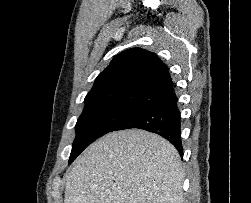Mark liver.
Returning a JSON list of instances; mask_svg holds the SVG:
<instances>
[{
	"instance_id": "obj_1",
	"label": "liver",
	"mask_w": 251,
	"mask_h": 203,
	"mask_svg": "<svg viewBox=\"0 0 251 203\" xmlns=\"http://www.w3.org/2000/svg\"><path fill=\"white\" fill-rule=\"evenodd\" d=\"M177 150L144 130L111 132L92 143L66 177L64 203H182Z\"/></svg>"
}]
</instances>
